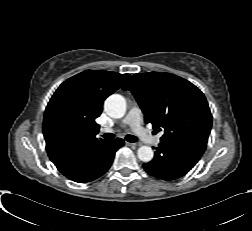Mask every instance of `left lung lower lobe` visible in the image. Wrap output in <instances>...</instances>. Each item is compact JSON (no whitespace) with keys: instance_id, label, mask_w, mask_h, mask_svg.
<instances>
[{"instance_id":"0a47b994","label":"left lung lower lobe","mask_w":252,"mask_h":231,"mask_svg":"<svg viewBox=\"0 0 252 231\" xmlns=\"http://www.w3.org/2000/svg\"><path fill=\"white\" fill-rule=\"evenodd\" d=\"M207 143L193 138L162 141L155 156L143 167L150 175L164 180L178 179L188 173L199 161Z\"/></svg>"}]
</instances>
